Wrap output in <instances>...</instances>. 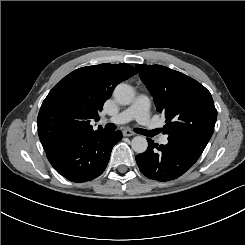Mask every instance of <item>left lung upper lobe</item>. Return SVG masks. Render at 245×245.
<instances>
[{"mask_svg": "<svg viewBox=\"0 0 245 245\" xmlns=\"http://www.w3.org/2000/svg\"><path fill=\"white\" fill-rule=\"evenodd\" d=\"M156 108L165 114L168 139L203 151L210 140L217 110L210 92L187 75L161 65L137 64Z\"/></svg>", "mask_w": 245, "mask_h": 245, "instance_id": "left-lung-upper-lobe-1", "label": "left lung upper lobe"}]
</instances>
